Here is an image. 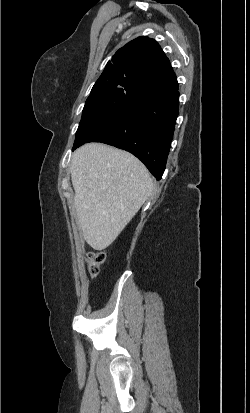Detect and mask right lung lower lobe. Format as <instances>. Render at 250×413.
Returning <instances> with one entry per match:
<instances>
[{
  "mask_svg": "<svg viewBox=\"0 0 250 413\" xmlns=\"http://www.w3.org/2000/svg\"><path fill=\"white\" fill-rule=\"evenodd\" d=\"M179 109L178 87L141 95L88 142H102L135 155L153 176L164 173Z\"/></svg>",
  "mask_w": 250,
  "mask_h": 413,
  "instance_id": "obj_1",
  "label": "right lung lower lobe"
}]
</instances>
